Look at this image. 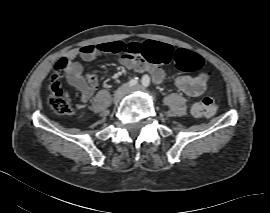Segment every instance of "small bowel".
<instances>
[{
    "mask_svg": "<svg viewBox=\"0 0 270 213\" xmlns=\"http://www.w3.org/2000/svg\"><path fill=\"white\" fill-rule=\"evenodd\" d=\"M105 44H87L69 51L56 65L57 68L66 73L67 82L70 86L80 92L83 102L90 100L99 85L98 76L85 72L82 64L77 60L93 61L100 57H105L109 53L104 49ZM149 55L159 62H169L177 54V51L169 44L152 42L148 46ZM188 52V51H187ZM120 63L132 70H149L154 83L163 81L164 71L158 65H148L143 61H137L129 55L120 58ZM209 77L205 73L195 76H177L174 79L175 86L185 94L196 97L203 94L207 88Z\"/></svg>",
    "mask_w": 270,
    "mask_h": 213,
    "instance_id": "c3829d8e",
    "label": "small bowel"
}]
</instances>
